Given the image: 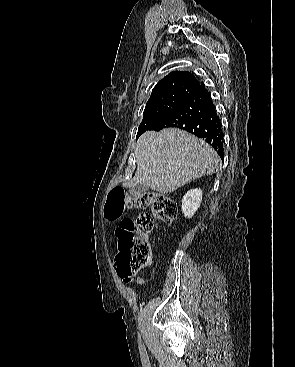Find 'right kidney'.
<instances>
[{
    "label": "right kidney",
    "instance_id": "right-kidney-1",
    "mask_svg": "<svg viewBox=\"0 0 295 367\" xmlns=\"http://www.w3.org/2000/svg\"><path fill=\"white\" fill-rule=\"evenodd\" d=\"M202 195L201 189H191L184 195L181 208L186 218L189 219L194 216L202 201Z\"/></svg>",
    "mask_w": 295,
    "mask_h": 367
}]
</instances>
